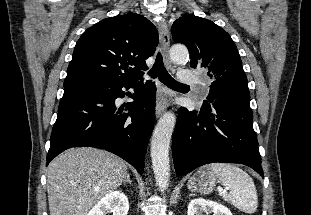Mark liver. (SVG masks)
Here are the masks:
<instances>
[{"label": "liver", "instance_id": "6515ba94", "mask_svg": "<svg viewBox=\"0 0 311 215\" xmlns=\"http://www.w3.org/2000/svg\"><path fill=\"white\" fill-rule=\"evenodd\" d=\"M127 165L95 148H72L48 166L50 215H87L90 208L126 179Z\"/></svg>", "mask_w": 311, "mask_h": 215}]
</instances>
